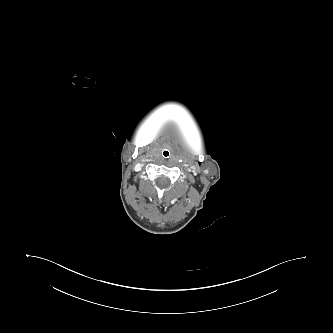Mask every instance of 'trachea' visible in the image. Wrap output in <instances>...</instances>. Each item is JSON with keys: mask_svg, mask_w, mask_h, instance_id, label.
I'll return each instance as SVG.
<instances>
[{"mask_svg": "<svg viewBox=\"0 0 333 333\" xmlns=\"http://www.w3.org/2000/svg\"><path fill=\"white\" fill-rule=\"evenodd\" d=\"M163 154H164L165 157H167V156L169 155V152L165 150V151L163 152Z\"/></svg>", "mask_w": 333, "mask_h": 333, "instance_id": "1", "label": "trachea"}]
</instances>
